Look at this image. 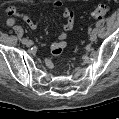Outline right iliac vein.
Instances as JSON below:
<instances>
[{"mask_svg": "<svg viewBox=\"0 0 119 119\" xmlns=\"http://www.w3.org/2000/svg\"><path fill=\"white\" fill-rule=\"evenodd\" d=\"M24 44H25L27 47H30V46H32V41L27 40Z\"/></svg>", "mask_w": 119, "mask_h": 119, "instance_id": "63e3f726", "label": "right iliac vein"}]
</instances>
